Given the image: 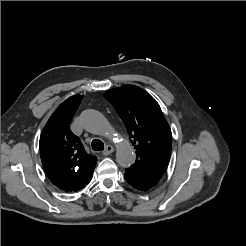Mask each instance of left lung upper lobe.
<instances>
[{"instance_id":"1","label":"left lung upper lobe","mask_w":246,"mask_h":246,"mask_svg":"<svg viewBox=\"0 0 246 246\" xmlns=\"http://www.w3.org/2000/svg\"><path fill=\"white\" fill-rule=\"evenodd\" d=\"M104 97L116 109L135 146L136 161L131 168L159 181L169 163L172 145L171 130L159 104L134 85L108 90Z\"/></svg>"}]
</instances>
